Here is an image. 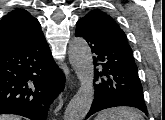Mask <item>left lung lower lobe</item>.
<instances>
[{
    "label": "left lung lower lobe",
    "mask_w": 165,
    "mask_h": 120,
    "mask_svg": "<svg viewBox=\"0 0 165 120\" xmlns=\"http://www.w3.org/2000/svg\"><path fill=\"white\" fill-rule=\"evenodd\" d=\"M76 36L89 44L95 69V97L87 117L115 106H132L147 114L143 88L132 51L98 32L85 18L76 23Z\"/></svg>",
    "instance_id": "0a47b994"
}]
</instances>
